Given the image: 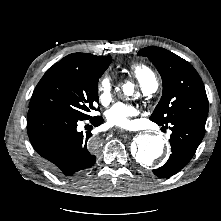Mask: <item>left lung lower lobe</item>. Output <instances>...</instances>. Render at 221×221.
Masks as SVG:
<instances>
[{"label":"left lung lower lobe","mask_w":221,"mask_h":221,"mask_svg":"<svg viewBox=\"0 0 221 221\" xmlns=\"http://www.w3.org/2000/svg\"><path fill=\"white\" fill-rule=\"evenodd\" d=\"M169 126L172 130L170 144L171 155L168 161L153 173L161 178L170 177L179 172L192 159L204 134L205 126L187 119H176Z\"/></svg>","instance_id":"0a47b994"}]
</instances>
